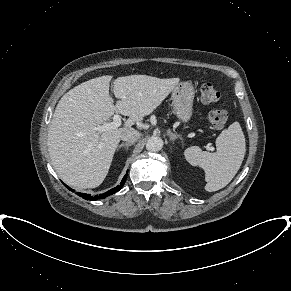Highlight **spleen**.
Returning <instances> with one entry per match:
<instances>
[{
	"label": "spleen",
	"mask_w": 291,
	"mask_h": 291,
	"mask_svg": "<svg viewBox=\"0 0 291 291\" xmlns=\"http://www.w3.org/2000/svg\"><path fill=\"white\" fill-rule=\"evenodd\" d=\"M214 153L192 146L184 151L186 160L205 171V190L218 191L228 185L238 172L245 156L246 142L239 122L232 123L216 139Z\"/></svg>",
	"instance_id": "1"
}]
</instances>
